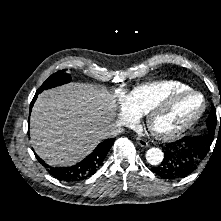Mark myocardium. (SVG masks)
I'll list each match as a JSON object with an SVG mask.
<instances>
[{"label": "myocardium", "instance_id": "obj_1", "mask_svg": "<svg viewBox=\"0 0 221 221\" xmlns=\"http://www.w3.org/2000/svg\"><path fill=\"white\" fill-rule=\"evenodd\" d=\"M189 96H198L201 100V104L199 108L186 121L172 129H159L156 127L155 121L164 111ZM205 108V97L198 91L189 89L186 91L173 93L152 104L150 109L145 114L146 126L150 133L156 138L162 140H174L182 136L200 120L205 111Z\"/></svg>", "mask_w": 221, "mask_h": 221}]
</instances>
